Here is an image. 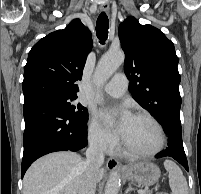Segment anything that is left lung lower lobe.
I'll use <instances>...</instances> for the list:
<instances>
[{"label": "left lung lower lobe", "mask_w": 201, "mask_h": 194, "mask_svg": "<svg viewBox=\"0 0 201 194\" xmlns=\"http://www.w3.org/2000/svg\"><path fill=\"white\" fill-rule=\"evenodd\" d=\"M164 131L168 135V147L156 155L157 158L172 157L178 161L187 171L188 162L183 148L180 116L167 114L160 121Z\"/></svg>", "instance_id": "obj_1"}]
</instances>
